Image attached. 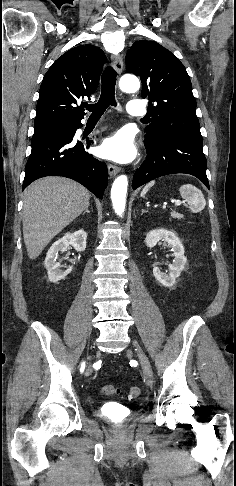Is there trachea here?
<instances>
[{
	"label": "trachea",
	"mask_w": 236,
	"mask_h": 486,
	"mask_svg": "<svg viewBox=\"0 0 236 486\" xmlns=\"http://www.w3.org/2000/svg\"><path fill=\"white\" fill-rule=\"evenodd\" d=\"M101 83V96L98 103L85 106L88 111L92 112L90 119H100L109 105H117L115 100L116 71L111 66L105 68Z\"/></svg>",
	"instance_id": "trachea-1"
}]
</instances>
